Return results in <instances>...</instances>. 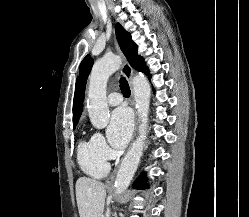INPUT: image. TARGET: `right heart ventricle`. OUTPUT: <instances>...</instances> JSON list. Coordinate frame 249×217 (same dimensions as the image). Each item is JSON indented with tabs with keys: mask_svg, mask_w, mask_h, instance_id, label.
Listing matches in <instances>:
<instances>
[{
	"mask_svg": "<svg viewBox=\"0 0 249 217\" xmlns=\"http://www.w3.org/2000/svg\"><path fill=\"white\" fill-rule=\"evenodd\" d=\"M77 160L82 171L93 178H103L109 171L107 160L97 152L92 138L79 143Z\"/></svg>",
	"mask_w": 249,
	"mask_h": 217,
	"instance_id": "e07e8e85",
	"label": "right heart ventricle"
}]
</instances>
